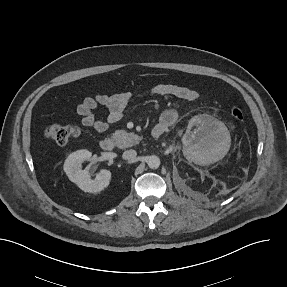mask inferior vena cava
<instances>
[{
    "label": "inferior vena cava",
    "mask_w": 287,
    "mask_h": 287,
    "mask_svg": "<svg viewBox=\"0 0 287 287\" xmlns=\"http://www.w3.org/2000/svg\"><path fill=\"white\" fill-rule=\"evenodd\" d=\"M137 155V152L135 150H127L123 153L122 157L125 160H130V159H134Z\"/></svg>",
    "instance_id": "1"
}]
</instances>
